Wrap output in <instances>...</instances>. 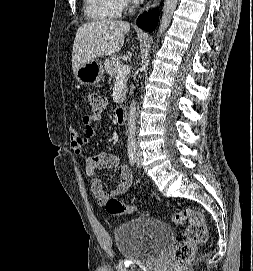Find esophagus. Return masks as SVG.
<instances>
[{
  "label": "esophagus",
  "mask_w": 253,
  "mask_h": 271,
  "mask_svg": "<svg viewBox=\"0 0 253 271\" xmlns=\"http://www.w3.org/2000/svg\"><path fill=\"white\" fill-rule=\"evenodd\" d=\"M160 0H150L147 5L145 10H153L158 4H159Z\"/></svg>",
  "instance_id": "obj_1"
}]
</instances>
